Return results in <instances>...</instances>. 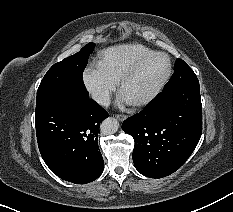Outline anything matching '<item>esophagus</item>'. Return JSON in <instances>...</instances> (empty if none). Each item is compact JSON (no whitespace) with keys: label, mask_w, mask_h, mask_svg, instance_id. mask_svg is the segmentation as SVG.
<instances>
[{"label":"esophagus","mask_w":233,"mask_h":212,"mask_svg":"<svg viewBox=\"0 0 233 212\" xmlns=\"http://www.w3.org/2000/svg\"><path fill=\"white\" fill-rule=\"evenodd\" d=\"M117 119L120 120V121H124L127 119V116L124 115V114H117L116 115Z\"/></svg>","instance_id":"obj_1"}]
</instances>
